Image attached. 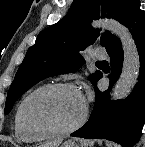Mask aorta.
Masks as SVG:
<instances>
[{
  "label": "aorta",
  "instance_id": "aorta-1",
  "mask_svg": "<svg viewBox=\"0 0 145 147\" xmlns=\"http://www.w3.org/2000/svg\"><path fill=\"white\" fill-rule=\"evenodd\" d=\"M104 28L117 36L124 53L122 72L111 94L113 100L126 98L136 84L140 71L138 50L129 30L115 20H108L101 24Z\"/></svg>",
  "mask_w": 145,
  "mask_h": 147
}]
</instances>
